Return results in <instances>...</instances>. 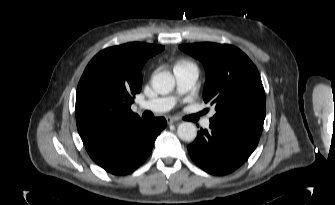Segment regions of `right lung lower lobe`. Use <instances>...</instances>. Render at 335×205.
<instances>
[{"label": "right lung lower lobe", "mask_w": 335, "mask_h": 205, "mask_svg": "<svg viewBox=\"0 0 335 205\" xmlns=\"http://www.w3.org/2000/svg\"><path fill=\"white\" fill-rule=\"evenodd\" d=\"M165 127L163 117L142 119L111 139L85 147L90 157L103 169L115 175H125L147 159L156 137Z\"/></svg>", "instance_id": "right-lung-lower-lobe-1"}]
</instances>
